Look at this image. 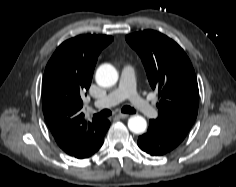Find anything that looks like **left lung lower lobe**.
Listing matches in <instances>:
<instances>
[{
    "mask_svg": "<svg viewBox=\"0 0 236 187\" xmlns=\"http://www.w3.org/2000/svg\"><path fill=\"white\" fill-rule=\"evenodd\" d=\"M184 136L179 133L150 120L148 132L138 139L140 149L150 155H164L176 148Z\"/></svg>",
    "mask_w": 236,
    "mask_h": 187,
    "instance_id": "1",
    "label": "left lung lower lobe"
}]
</instances>
